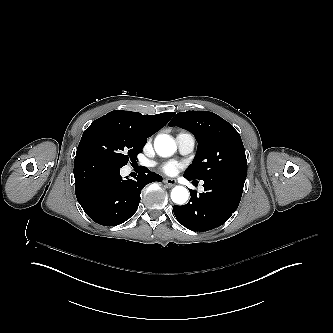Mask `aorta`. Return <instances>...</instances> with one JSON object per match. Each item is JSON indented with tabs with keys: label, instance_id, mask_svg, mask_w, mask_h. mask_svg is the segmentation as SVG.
I'll return each mask as SVG.
<instances>
[{
	"label": "aorta",
	"instance_id": "1",
	"mask_svg": "<svg viewBox=\"0 0 333 333\" xmlns=\"http://www.w3.org/2000/svg\"><path fill=\"white\" fill-rule=\"evenodd\" d=\"M154 148L160 157H171L177 150L173 138L167 134H160L154 140ZM189 198L188 189L183 186H175L171 191V199L174 203L183 205Z\"/></svg>",
	"mask_w": 333,
	"mask_h": 333
}]
</instances>
